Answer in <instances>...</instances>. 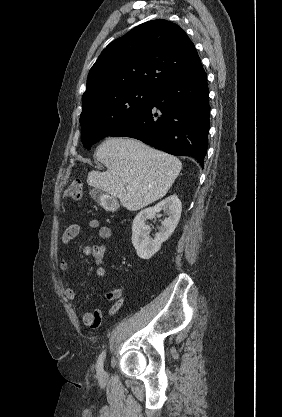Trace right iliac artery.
Returning <instances> with one entry per match:
<instances>
[{
	"mask_svg": "<svg viewBox=\"0 0 282 417\" xmlns=\"http://www.w3.org/2000/svg\"><path fill=\"white\" fill-rule=\"evenodd\" d=\"M105 356H106V351H103L99 355L98 360H97V373L99 375L103 374V363H104Z\"/></svg>",
	"mask_w": 282,
	"mask_h": 417,
	"instance_id": "right-iliac-artery-1",
	"label": "right iliac artery"
}]
</instances>
